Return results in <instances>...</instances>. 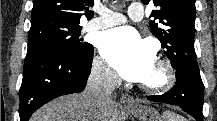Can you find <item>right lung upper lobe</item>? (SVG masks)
Returning <instances> with one entry per match:
<instances>
[{"label": "right lung upper lobe", "mask_w": 217, "mask_h": 121, "mask_svg": "<svg viewBox=\"0 0 217 121\" xmlns=\"http://www.w3.org/2000/svg\"><path fill=\"white\" fill-rule=\"evenodd\" d=\"M94 0H33L31 23L45 19H55L67 23L79 24L82 12L90 19L93 12L89 7Z\"/></svg>", "instance_id": "1"}]
</instances>
